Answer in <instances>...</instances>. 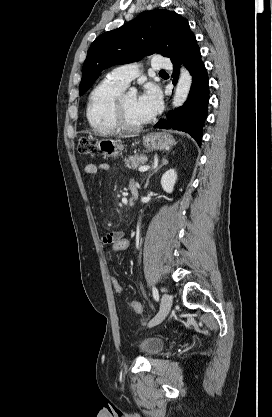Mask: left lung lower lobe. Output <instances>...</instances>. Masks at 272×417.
Returning <instances> with one entry per match:
<instances>
[{"label":"left lung lower lobe","mask_w":272,"mask_h":417,"mask_svg":"<svg viewBox=\"0 0 272 417\" xmlns=\"http://www.w3.org/2000/svg\"><path fill=\"white\" fill-rule=\"evenodd\" d=\"M184 63L192 75V86L185 104L170 111L168 118L161 119L154 128L174 129L190 134L199 145L202 139V126L207 118L209 102L208 75L204 63L201 60L199 47H196L184 59L173 63V84L177 83L180 64Z\"/></svg>","instance_id":"1"}]
</instances>
